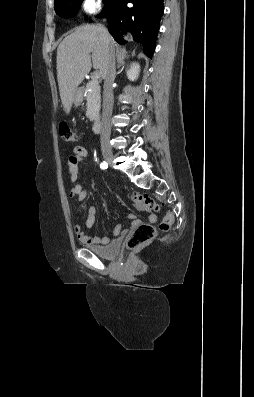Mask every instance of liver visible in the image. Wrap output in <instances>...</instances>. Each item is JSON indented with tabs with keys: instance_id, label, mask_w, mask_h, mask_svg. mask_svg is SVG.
I'll return each mask as SVG.
<instances>
[{
	"instance_id": "obj_1",
	"label": "liver",
	"mask_w": 254,
	"mask_h": 397,
	"mask_svg": "<svg viewBox=\"0 0 254 397\" xmlns=\"http://www.w3.org/2000/svg\"><path fill=\"white\" fill-rule=\"evenodd\" d=\"M110 44L114 48L115 42L111 36ZM107 54L108 45L100 25L77 27L60 43L57 49V79L66 114L71 111L75 90L90 72L92 65L104 77Z\"/></svg>"
}]
</instances>
